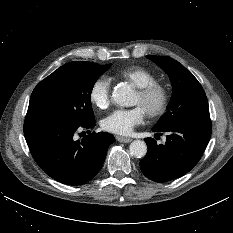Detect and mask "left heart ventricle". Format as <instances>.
I'll return each mask as SVG.
<instances>
[{
    "instance_id": "left-heart-ventricle-1",
    "label": "left heart ventricle",
    "mask_w": 233,
    "mask_h": 233,
    "mask_svg": "<svg viewBox=\"0 0 233 233\" xmlns=\"http://www.w3.org/2000/svg\"><path fill=\"white\" fill-rule=\"evenodd\" d=\"M158 103V98L157 97H153L151 99H142L137 93L134 96L133 99V105H137L140 106L145 113L153 108H155L157 106Z\"/></svg>"
}]
</instances>
